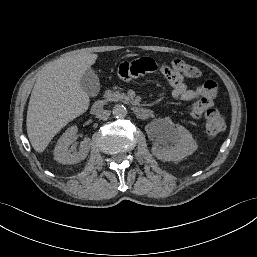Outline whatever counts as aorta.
I'll return each instance as SVG.
<instances>
[{
	"label": "aorta",
	"mask_w": 257,
	"mask_h": 257,
	"mask_svg": "<svg viewBox=\"0 0 257 257\" xmlns=\"http://www.w3.org/2000/svg\"><path fill=\"white\" fill-rule=\"evenodd\" d=\"M113 115L117 118H124L127 116V109L124 105L116 104L113 107Z\"/></svg>",
	"instance_id": "762f6f07"
}]
</instances>
